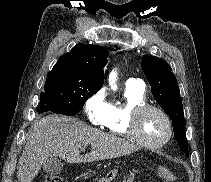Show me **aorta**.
<instances>
[{
  "instance_id": "aorta-1",
  "label": "aorta",
  "mask_w": 211,
  "mask_h": 182,
  "mask_svg": "<svg viewBox=\"0 0 211 182\" xmlns=\"http://www.w3.org/2000/svg\"><path fill=\"white\" fill-rule=\"evenodd\" d=\"M116 81H117V72L112 71L109 75V85L114 91L117 90Z\"/></svg>"
}]
</instances>
